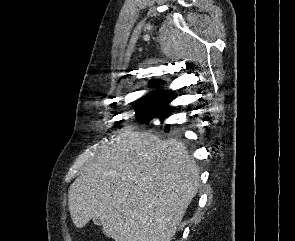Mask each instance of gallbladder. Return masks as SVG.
Returning <instances> with one entry per match:
<instances>
[{
    "label": "gallbladder",
    "instance_id": "bac80fb5",
    "mask_svg": "<svg viewBox=\"0 0 295 241\" xmlns=\"http://www.w3.org/2000/svg\"><path fill=\"white\" fill-rule=\"evenodd\" d=\"M94 224L101 225V222L99 219H93Z\"/></svg>",
    "mask_w": 295,
    "mask_h": 241
}]
</instances>
